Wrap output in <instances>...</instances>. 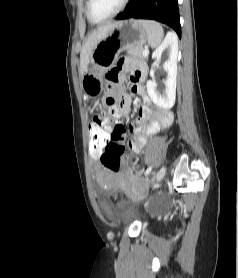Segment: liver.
<instances>
[{
	"instance_id": "6515ba94",
	"label": "liver",
	"mask_w": 238,
	"mask_h": 278,
	"mask_svg": "<svg viewBox=\"0 0 238 278\" xmlns=\"http://www.w3.org/2000/svg\"><path fill=\"white\" fill-rule=\"evenodd\" d=\"M117 22L108 23L97 28L86 40L80 54V73L83 75L90 62V57L94 47L106 37L109 30L112 29Z\"/></svg>"
}]
</instances>
